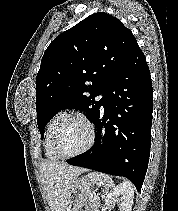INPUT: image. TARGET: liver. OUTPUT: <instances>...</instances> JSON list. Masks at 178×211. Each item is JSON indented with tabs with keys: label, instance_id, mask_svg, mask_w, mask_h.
<instances>
[{
	"label": "liver",
	"instance_id": "1",
	"mask_svg": "<svg viewBox=\"0 0 178 211\" xmlns=\"http://www.w3.org/2000/svg\"><path fill=\"white\" fill-rule=\"evenodd\" d=\"M85 171L59 162L41 163L40 173L51 211H64L72 183Z\"/></svg>",
	"mask_w": 178,
	"mask_h": 211
}]
</instances>
